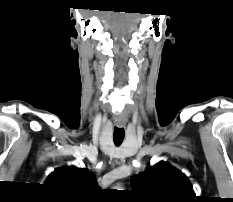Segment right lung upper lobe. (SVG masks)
I'll list each match as a JSON object with an SVG mask.
<instances>
[{
  "label": "right lung upper lobe",
  "mask_w": 233,
  "mask_h": 202,
  "mask_svg": "<svg viewBox=\"0 0 233 202\" xmlns=\"http://www.w3.org/2000/svg\"><path fill=\"white\" fill-rule=\"evenodd\" d=\"M45 184L59 192L70 194H83L97 188L93 173L74 166L56 169L48 176Z\"/></svg>",
  "instance_id": "right-lung-upper-lobe-1"
}]
</instances>
